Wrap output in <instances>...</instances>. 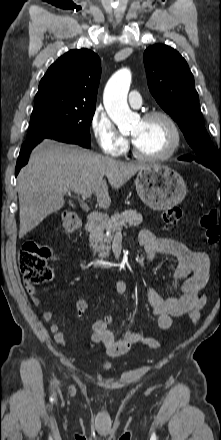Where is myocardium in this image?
Here are the masks:
<instances>
[{
  "label": "myocardium",
  "instance_id": "f54148a6",
  "mask_svg": "<svg viewBox=\"0 0 221 440\" xmlns=\"http://www.w3.org/2000/svg\"><path fill=\"white\" fill-rule=\"evenodd\" d=\"M156 117H160L162 119H164L172 132V142L170 147L163 153L161 154H157V155H147L144 154L142 152H140L138 150V148L136 147V145L133 143V155L140 160L143 161H151V162H157V161H164L169 159L170 157H172L179 149L180 144H181V132L179 129V126L177 124V122L175 121V119L166 111L163 110H152L149 112H146L143 116H142V120L146 121V120H150Z\"/></svg>",
  "mask_w": 221,
  "mask_h": 440
}]
</instances>
